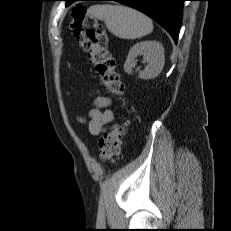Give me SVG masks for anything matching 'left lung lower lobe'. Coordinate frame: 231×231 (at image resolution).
Listing matches in <instances>:
<instances>
[{
  "instance_id": "left-lung-lower-lobe-1",
  "label": "left lung lower lobe",
  "mask_w": 231,
  "mask_h": 231,
  "mask_svg": "<svg viewBox=\"0 0 231 231\" xmlns=\"http://www.w3.org/2000/svg\"><path fill=\"white\" fill-rule=\"evenodd\" d=\"M66 6L75 1H116L133 7L159 23L177 43L185 0H64Z\"/></svg>"
}]
</instances>
